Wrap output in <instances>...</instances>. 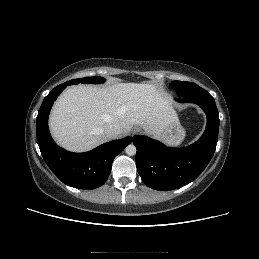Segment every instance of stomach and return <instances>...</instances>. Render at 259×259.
Instances as JSON below:
<instances>
[{
    "label": "stomach",
    "instance_id": "1",
    "mask_svg": "<svg viewBox=\"0 0 259 259\" xmlns=\"http://www.w3.org/2000/svg\"><path fill=\"white\" fill-rule=\"evenodd\" d=\"M186 131L181 126L178 118L172 120L164 128L162 134L158 137L166 145L178 146L185 139Z\"/></svg>",
    "mask_w": 259,
    "mask_h": 259
}]
</instances>
